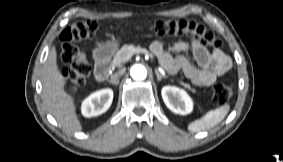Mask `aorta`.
Returning <instances> with one entry per match:
<instances>
[{"instance_id": "762f6f07", "label": "aorta", "mask_w": 283, "mask_h": 162, "mask_svg": "<svg viewBox=\"0 0 283 162\" xmlns=\"http://www.w3.org/2000/svg\"><path fill=\"white\" fill-rule=\"evenodd\" d=\"M130 75L135 80H144L147 77V70L143 65L136 64L131 67Z\"/></svg>"}]
</instances>
